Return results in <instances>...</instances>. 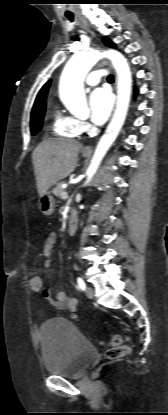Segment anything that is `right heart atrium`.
I'll list each match as a JSON object with an SVG mask.
<instances>
[{
  "label": "right heart atrium",
  "instance_id": "d8ad5b80",
  "mask_svg": "<svg viewBox=\"0 0 168 415\" xmlns=\"http://www.w3.org/2000/svg\"><path fill=\"white\" fill-rule=\"evenodd\" d=\"M79 129L81 132H85L89 129V125L88 123L84 122V121H79Z\"/></svg>",
  "mask_w": 168,
  "mask_h": 415
}]
</instances>
